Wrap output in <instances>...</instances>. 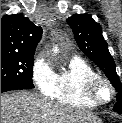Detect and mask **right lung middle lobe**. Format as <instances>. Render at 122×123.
I'll use <instances>...</instances> for the list:
<instances>
[{
	"label": "right lung middle lobe",
	"instance_id": "dd1d6c3e",
	"mask_svg": "<svg viewBox=\"0 0 122 123\" xmlns=\"http://www.w3.org/2000/svg\"><path fill=\"white\" fill-rule=\"evenodd\" d=\"M34 55L1 53V83H16L27 89L32 82Z\"/></svg>",
	"mask_w": 122,
	"mask_h": 123
}]
</instances>
